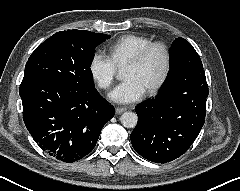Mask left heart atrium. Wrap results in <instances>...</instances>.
I'll return each mask as SVG.
<instances>
[{"instance_id":"left-heart-atrium-1","label":"left heart atrium","mask_w":240,"mask_h":191,"mask_svg":"<svg viewBox=\"0 0 240 191\" xmlns=\"http://www.w3.org/2000/svg\"><path fill=\"white\" fill-rule=\"evenodd\" d=\"M146 90L135 78L130 77L120 83L109 95L110 99L117 103H132L143 97Z\"/></svg>"}]
</instances>
